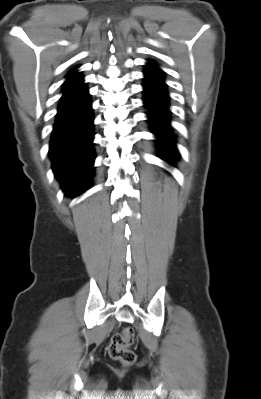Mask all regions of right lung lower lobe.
I'll use <instances>...</instances> for the list:
<instances>
[{"mask_svg":"<svg viewBox=\"0 0 261 399\" xmlns=\"http://www.w3.org/2000/svg\"><path fill=\"white\" fill-rule=\"evenodd\" d=\"M50 141L55 177L65 195H80L93 176V110L83 77L65 81Z\"/></svg>","mask_w":261,"mask_h":399,"instance_id":"right-lung-lower-lobe-1","label":"right lung lower lobe"}]
</instances>
